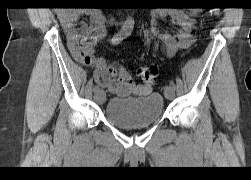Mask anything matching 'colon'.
<instances>
[{"label": "colon", "instance_id": "obj_1", "mask_svg": "<svg viewBox=\"0 0 251 180\" xmlns=\"http://www.w3.org/2000/svg\"><path fill=\"white\" fill-rule=\"evenodd\" d=\"M138 77L142 85L152 87L158 78V70L155 66H144L138 70Z\"/></svg>", "mask_w": 251, "mask_h": 180}]
</instances>
